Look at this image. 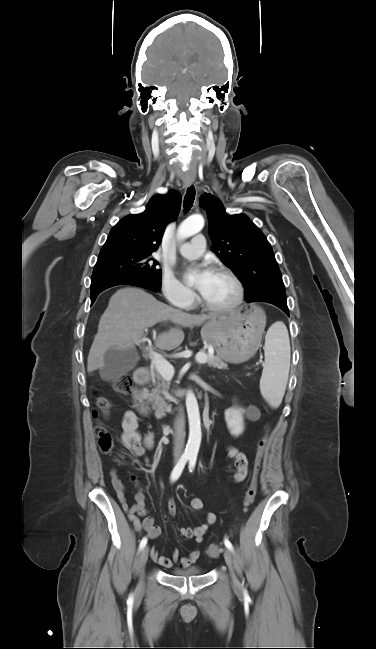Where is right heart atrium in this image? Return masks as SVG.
<instances>
[{
  "label": "right heart atrium",
  "instance_id": "d8ad5b80",
  "mask_svg": "<svg viewBox=\"0 0 376 649\" xmlns=\"http://www.w3.org/2000/svg\"><path fill=\"white\" fill-rule=\"evenodd\" d=\"M160 289L166 301L176 307L189 308L195 301V293L168 271L162 273Z\"/></svg>",
  "mask_w": 376,
  "mask_h": 649
}]
</instances>
